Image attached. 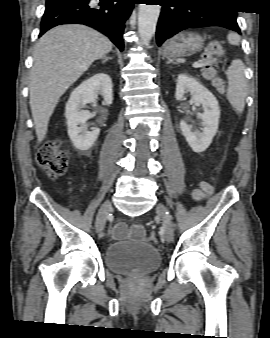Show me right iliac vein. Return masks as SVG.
Here are the masks:
<instances>
[{
    "label": "right iliac vein",
    "instance_id": "63e3f726",
    "mask_svg": "<svg viewBox=\"0 0 270 338\" xmlns=\"http://www.w3.org/2000/svg\"><path fill=\"white\" fill-rule=\"evenodd\" d=\"M112 210V205L110 202H105L99 212H98V215H97V218H96V223H95V227H96V231L97 232H101L104 228V225H105V222L107 220V217L109 215V213L111 212Z\"/></svg>",
    "mask_w": 270,
    "mask_h": 338
}]
</instances>
